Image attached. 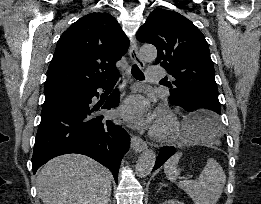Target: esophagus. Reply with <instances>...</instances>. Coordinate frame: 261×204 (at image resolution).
Wrapping results in <instances>:
<instances>
[{"label": "esophagus", "mask_w": 261, "mask_h": 204, "mask_svg": "<svg viewBox=\"0 0 261 204\" xmlns=\"http://www.w3.org/2000/svg\"><path fill=\"white\" fill-rule=\"evenodd\" d=\"M129 56L133 63L137 64L140 68L145 67L144 61L140 58L138 53V46L136 40L134 39L131 47L129 49ZM131 146L136 152H142L147 148L146 142L141 139L139 136L132 135L131 137Z\"/></svg>", "instance_id": "1"}]
</instances>
